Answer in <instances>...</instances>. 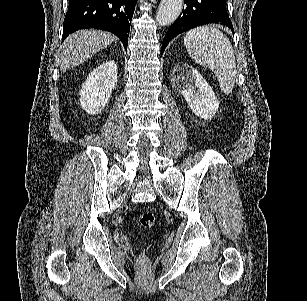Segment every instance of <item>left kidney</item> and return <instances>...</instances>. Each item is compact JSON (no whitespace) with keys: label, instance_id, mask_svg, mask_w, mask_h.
I'll use <instances>...</instances> for the list:
<instances>
[{"label":"left kidney","instance_id":"5707ae66","mask_svg":"<svg viewBox=\"0 0 307 301\" xmlns=\"http://www.w3.org/2000/svg\"><path fill=\"white\" fill-rule=\"evenodd\" d=\"M175 88H179L194 114L211 120L218 112L219 100L199 70L190 64H177L172 70Z\"/></svg>","mask_w":307,"mask_h":301}]
</instances>
